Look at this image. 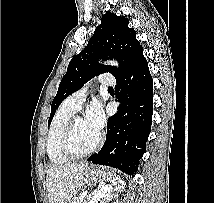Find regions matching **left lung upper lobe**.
Masks as SVG:
<instances>
[{
	"label": "left lung upper lobe",
	"instance_id": "obj_1",
	"mask_svg": "<svg viewBox=\"0 0 214 203\" xmlns=\"http://www.w3.org/2000/svg\"><path fill=\"white\" fill-rule=\"evenodd\" d=\"M128 23L127 18L114 13L107 12L102 16L101 24L96 27L86 48L69 63L53 99L48 124L61 102L91 78L105 72L117 78L128 68L132 58L143 49L136 39V31L129 28ZM107 57L118 60L120 68L98 63L99 59Z\"/></svg>",
	"mask_w": 214,
	"mask_h": 203
}]
</instances>
